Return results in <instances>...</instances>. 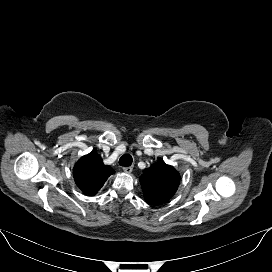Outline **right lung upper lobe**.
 Listing matches in <instances>:
<instances>
[{
  "mask_svg": "<svg viewBox=\"0 0 272 272\" xmlns=\"http://www.w3.org/2000/svg\"><path fill=\"white\" fill-rule=\"evenodd\" d=\"M113 173L114 170L104 165L102 158L95 152L81 157L73 169L75 183L84 193L90 195L97 194Z\"/></svg>",
  "mask_w": 272,
  "mask_h": 272,
  "instance_id": "cb5924a9",
  "label": "right lung upper lobe"
}]
</instances>
